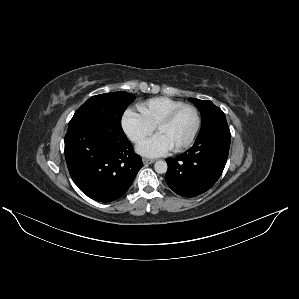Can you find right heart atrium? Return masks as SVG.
<instances>
[{
	"label": "right heart atrium",
	"instance_id": "d8ad5b80",
	"mask_svg": "<svg viewBox=\"0 0 299 299\" xmlns=\"http://www.w3.org/2000/svg\"><path fill=\"white\" fill-rule=\"evenodd\" d=\"M121 125L125 134L134 143L141 142L154 131V127L151 126L139 112L133 109H128L123 114Z\"/></svg>",
	"mask_w": 299,
	"mask_h": 299
}]
</instances>
